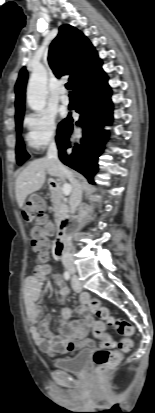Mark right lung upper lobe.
<instances>
[{"label": "right lung upper lobe", "instance_id": "right-lung-upper-lobe-1", "mask_svg": "<svg viewBox=\"0 0 155 413\" xmlns=\"http://www.w3.org/2000/svg\"><path fill=\"white\" fill-rule=\"evenodd\" d=\"M49 64L57 77L70 75L69 81L76 88L89 78L101 73L102 61L91 42L76 28L66 24L59 28L49 50ZM27 71L23 68L15 85L16 121L23 119Z\"/></svg>", "mask_w": 155, "mask_h": 413}]
</instances>
